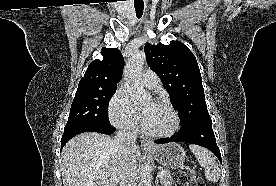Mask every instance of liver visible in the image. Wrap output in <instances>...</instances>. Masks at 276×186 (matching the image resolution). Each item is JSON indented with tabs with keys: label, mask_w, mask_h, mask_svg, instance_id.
<instances>
[{
	"label": "liver",
	"mask_w": 276,
	"mask_h": 186,
	"mask_svg": "<svg viewBox=\"0 0 276 186\" xmlns=\"http://www.w3.org/2000/svg\"><path fill=\"white\" fill-rule=\"evenodd\" d=\"M138 146L127 157L137 162ZM123 155L111 137L85 132L72 138L63 148L60 158L63 186H117Z\"/></svg>",
	"instance_id": "6515ba94"
}]
</instances>
